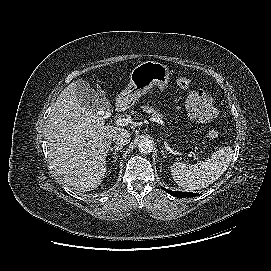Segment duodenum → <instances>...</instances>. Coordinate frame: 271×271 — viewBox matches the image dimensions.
<instances>
[{
	"instance_id": "duodenum-1",
	"label": "duodenum",
	"mask_w": 271,
	"mask_h": 271,
	"mask_svg": "<svg viewBox=\"0 0 271 271\" xmlns=\"http://www.w3.org/2000/svg\"><path fill=\"white\" fill-rule=\"evenodd\" d=\"M124 108H125V106L123 104H118L116 110H117V112H122L124 110Z\"/></svg>"
}]
</instances>
